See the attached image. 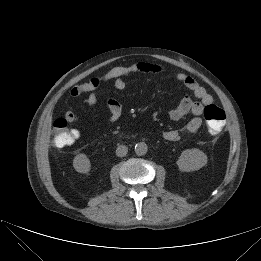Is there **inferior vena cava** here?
<instances>
[{
  "label": "inferior vena cava",
  "instance_id": "obj_1",
  "mask_svg": "<svg viewBox=\"0 0 261 261\" xmlns=\"http://www.w3.org/2000/svg\"><path fill=\"white\" fill-rule=\"evenodd\" d=\"M127 152H128V148L125 145H120L116 149V155L118 157L126 156Z\"/></svg>",
  "mask_w": 261,
  "mask_h": 261
}]
</instances>
